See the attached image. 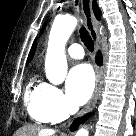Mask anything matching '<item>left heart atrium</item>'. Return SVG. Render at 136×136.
Instances as JSON below:
<instances>
[{
	"label": "left heart atrium",
	"mask_w": 136,
	"mask_h": 136,
	"mask_svg": "<svg viewBox=\"0 0 136 136\" xmlns=\"http://www.w3.org/2000/svg\"><path fill=\"white\" fill-rule=\"evenodd\" d=\"M94 85V73L89 65L80 64L73 67L66 82L70 102L74 105H83L90 98Z\"/></svg>",
	"instance_id": "39dd6f15"
}]
</instances>
